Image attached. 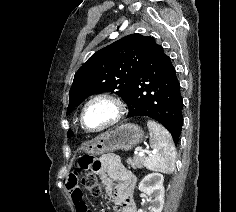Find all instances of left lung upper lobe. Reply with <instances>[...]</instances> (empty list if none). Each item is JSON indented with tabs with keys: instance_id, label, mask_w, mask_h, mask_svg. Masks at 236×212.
<instances>
[{
	"instance_id": "5c2ea615",
	"label": "left lung upper lobe",
	"mask_w": 236,
	"mask_h": 212,
	"mask_svg": "<svg viewBox=\"0 0 236 212\" xmlns=\"http://www.w3.org/2000/svg\"><path fill=\"white\" fill-rule=\"evenodd\" d=\"M150 36L131 34L100 49L74 75L67 114L92 94L111 92L123 100L148 48ZM68 131V137L72 136Z\"/></svg>"
}]
</instances>
